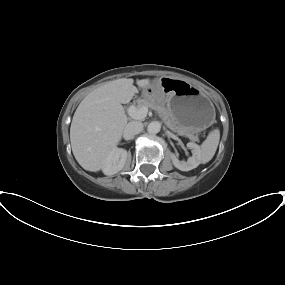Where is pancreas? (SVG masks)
Listing matches in <instances>:
<instances>
[{
    "instance_id": "pancreas-1",
    "label": "pancreas",
    "mask_w": 285,
    "mask_h": 285,
    "mask_svg": "<svg viewBox=\"0 0 285 285\" xmlns=\"http://www.w3.org/2000/svg\"><path fill=\"white\" fill-rule=\"evenodd\" d=\"M143 106H146L147 108H151L153 110H156L158 112L166 114V110H165L164 106L161 105V104L156 103L154 100H149V99H146V98L138 99L136 107L139 109V108H141ZM165 118H166V116H165ZM169 127L173 131L177 132L178 134L185 135V136L189 137V139L192 140V141H198V136L194 135L193 133L187 132V131H185L182 128H178V127L174 126L173 124H169Z\"/></svg>"
}]
</instances>
